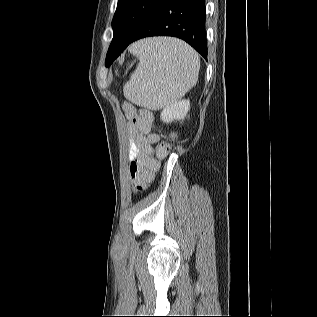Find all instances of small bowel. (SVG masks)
Segmentation results:
<instances>
[{
	"label": "small bowel",
	"mask_w": 317,
	"mask_h": 317,
	"mask_svg": "<svg viewBox=\"0 0 317 317\" xmlns=\"http://www.w3.org/2000/svg\"><path fill=\"white\" fill-rule=\"evenodd\" d=\"M123 111L128 119V132L130 134L129 143V159L134 161L141 155H151L153 153V145L156 144L160 137L158 134H145L133 124V117L136 114V108L128 103H123Z\"/></svg>",
	"instance_id": "small-bowel-1"
}]
</instances>
